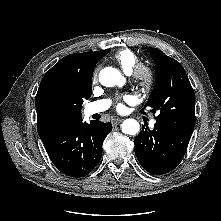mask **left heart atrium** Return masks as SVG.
<instances>
[{
    "label": "left heart atrium",
    "mask_w": 221,
    "mask_h": 221,
    "mask_svg": "<svg viewBox=\"0 0 221 221\" xmlns=\"http://www.w3.org/2000/svg\"><path fill=\"white\" fill-rule=\"evenodd\" d=\"M123 105L121 104V103H119L118 105H117V109L119 110V111H122L123 110Z\"/></svg>",
    "instance_id": "left-heart-atrium-1"
}]
</instances>
